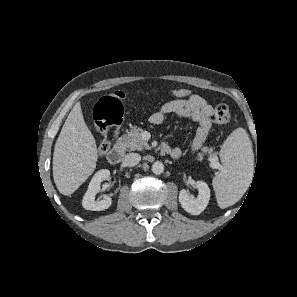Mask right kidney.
<instances>
[{"mask_svg":"<svg viewBox=\"0 0 297 297\" xmlns=\"http://www.w3.org/2000/svg\"><path fill=\"white\" fill-rule=\"evenodd\" d=\"M109 178L110 171L107 169H102L95 173L83 197L82 206L84 209L92 211H103L111 206L112 199L109 196H105L100 201H95V196L101 188V182L103 180H108Z\"/></svg>","mask_w":297,"mask_h":297,"instance_id":"ca27d5eb","label":"right kidney"}]
</instances>
